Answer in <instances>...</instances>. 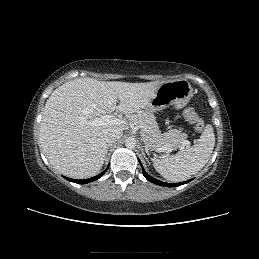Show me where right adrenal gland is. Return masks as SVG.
Listing matches in <instances>:
<instances>
[{"label": "right adrenal gland", "instance_id": "2a0ac1e0", "mask_svg": "<svg viewBox=\"0 0 259 259\" xmlns=\"http://www.w3.org/2000/svg\"><path fill=\"white\" fill-rule=\"evenodd\" d=\"M111 145H112V144H108V145H107V152H108V149H109V147H110Z\"/></svg>", "mask_w": 259, "mask_h": 259}]
</instances>
